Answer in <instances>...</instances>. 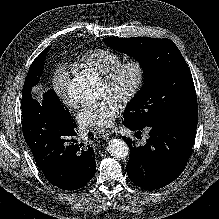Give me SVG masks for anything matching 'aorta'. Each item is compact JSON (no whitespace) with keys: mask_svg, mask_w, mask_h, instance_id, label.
I'll use <instances>...</instances> for the list:
<instances>
[{"mask_svg":"<svg viewBox=\"0 0 219 219\" xmlns=\"http://www.w3.org/2000/svg\"><path fill=\"white\" fill-rule=\"evenodd\" d=\"M96 90V81L90 77H76L69 86L70 95L78 101L94 99ZM107 150L117 159H125L129 155V147L121 139H111L107 144Z\"/></svg>","mask_w":219,"mask_h":219,"instance_id":"762f6f07","label":"aorta"}]
</instances>
